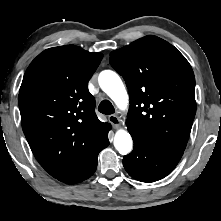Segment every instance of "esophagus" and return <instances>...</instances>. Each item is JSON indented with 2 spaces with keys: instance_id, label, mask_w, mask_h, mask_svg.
Segmentation results:
<instances>
[{
  "instance_id": "obj_1",
  "label": "esophagus",
  "mask_w": 221,
  "mask_h": 221,
  "mask_svg": "<svg viewBox=\"0 0 221 221\" xmlns=\"http://www.w3.org/2000/svg\"><path fill=\"white\" fill-rule=\"evenodd\" d=\"M108 120L115 126L119 127L122 123L121 119L116 115H109Z\"/></svg>"
}]
</instances>
